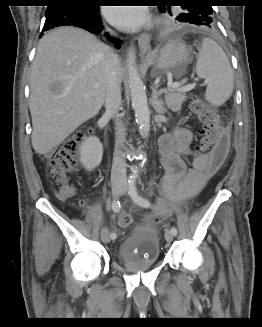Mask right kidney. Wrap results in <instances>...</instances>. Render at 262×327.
Returning a JSON list of instances; mask_svg holds the SVG:
<instances>
[{
  "label": "right kidney",
  "mask_w": 262,
  "mask_h": 327,
  "mask_svg": "<svg viewBox=\"0 0 262 327\" xmlns=\"http://www.w3.org/2000/svg\"><path fill=\"white\" fill-rule=\"evenodd\" d=\"M103 156V147L97 137L87 138L80 147V161L88 171L100 165Z\"/></svg>",
  "instance_id": "right-kidney-1"
}]
</instances>
